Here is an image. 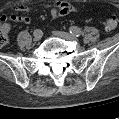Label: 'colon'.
<instances>
[{
	"label": "colon",
	"instance_id": "obj_1",
	"mask_svg": "<svg viewBox=\"0 0 119 119\" xmlns=\"http://www.w3.org/2000/svg\"><path fill=\"white\" fill-rule=\"evenodd\" d=\"M118 24V19L115 15L110 16L104 23L107 32H112L116 29ZM9 41L8 30L1 26L0 27V45H6Z\"/></svg>",
	"mask_w": 119,
	"mask_h": 119
}]
</instances>
